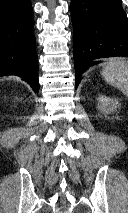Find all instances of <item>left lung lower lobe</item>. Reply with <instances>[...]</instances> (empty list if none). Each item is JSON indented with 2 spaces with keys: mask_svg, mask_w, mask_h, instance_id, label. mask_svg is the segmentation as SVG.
Listing matches in <instances>:
<instances>
[{
  "mask_svg": "<svg viewBox=\"0 0 128 213\" xmlns=\"http://www.w3.org/2000/svg\"><path fill=\"white\" fill-rule=\"evenodd\" d=\"M75 86L98 58L128 57V20L121 0H72Z\"/></svg>",
  "mask_w": 128,
  "mask_h": 213,
  "instance_id": "obj_1",
  "label": "left lung lower lobe"
}]
</instances>
